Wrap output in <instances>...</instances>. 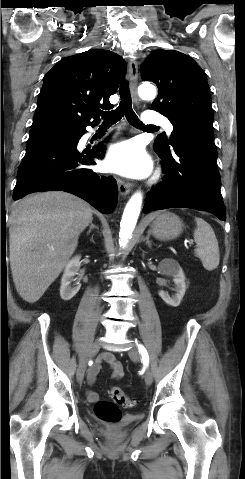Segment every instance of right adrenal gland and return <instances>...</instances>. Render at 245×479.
Masks as SVG:
<instances>
[{
  "label": "right adrenal gland",
  "instance_id": "obj_1",
  "mask_svg": "<svg viewBox=\"0 0 245 479\" xmlns=\"http://www.w3.org/2000/svg\"><path fill=\"white\" fill-rule=\"evenodd\" d=\"M93 229H97V230H98V227L95 226V225L92 223V221H91V222H90V227H89V230H88L87 234L89 235Z\"/></svg>",
  "mask_w": 245,
  "mask_h": 479
}]
</instances>
